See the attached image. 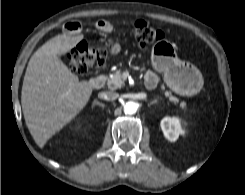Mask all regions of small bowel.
<instances>
[{"label": "small bowel", "mask_w": 245, "mask_h": 195, "mask_svg": "<svg viewBox=\"0 0 245 195\" xmlns=\"http://www.w3.org/2000/svg\"><path fill=\"white\" fill-rule=\"evenodd\" d=\"M96 28L100 31H102L103 33H106V34H111L113 32V26L112 24L109 22V21H106V20H99L96 22ZM80 28H81V25L79 22L77 21H70V22H67L66 24H64L63 26V31L68 34V35H71V34H75L77 32L80 31ZM112 46H111V55H116L120 52L121 50V47L118 43H111ZM146 79H154L157 81V78L156 76L149 72L147 74V77Z\"/></svg>", "instance_id": "obj_1"}]
</instances>
